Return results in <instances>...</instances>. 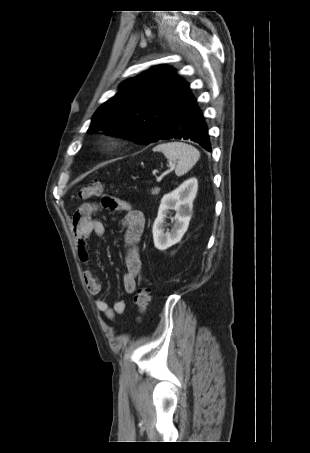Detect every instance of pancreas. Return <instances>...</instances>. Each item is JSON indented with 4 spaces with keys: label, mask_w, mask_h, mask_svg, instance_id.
Masks as SVG:
<instances>
[{
    "label": "pancreas",
    "mask_w": 310,
    "mask_h": 453,
    "mask_svg": "<svg viewBox=\"0 0 310 453\" xmlns=\"http://www.w3.org/2000/svg\"><path fill=\"white\" fill-rule=\"evenodd\" d=\"M159 191H160V188L156 187V188L152 189L151 193H152V195H158Z\"/></svg>",
    "instance_id": "pancreas-1"
}]
</instances>
